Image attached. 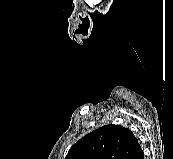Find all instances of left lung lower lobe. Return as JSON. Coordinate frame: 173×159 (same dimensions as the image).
Segmentation results:
<instances>
[{"label":"left lung lower lobe","mask_w":173,"mask_h":159,"mask_svg":"<svg viewBox=\"0 0 173 159\" xmlns=\"http://www.w3.org/2000/svg\"><path fill=\"white\" fill-rule=\"evenodd\" d=\"M134 159H144L143 151L141 150Z\"/></svg>","instance_id":"1"}]
</instances>
